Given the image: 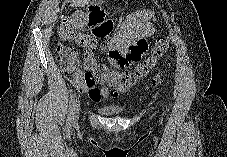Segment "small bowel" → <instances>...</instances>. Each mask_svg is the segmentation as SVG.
<instances>
[{"instance_id":"small-bowel-1","label":"small bowel","mask_w":227,"mask_h":157,"mask_svg":"<svg viewBox=\"0 0 227 157\" xmlns=\"http://www.w3.org/2000/svg\"><path fill=\"white\" fill-rule=\"evenodd\" d=\"M155 11L151 9L139 10L131 13L122 24L119 32L110 40L107 47H101V52H106L108 62L116 68H124L130 64L127 62H139L143 54H146L145 38L155 32L151 19ZM105 25H110L107 22ZM141 77H136L134 85ZM74 86L80 93L87 94L93 102H100L102 98L115 97L117 94L107 84L98 88L86 81L81 70L77 72V80Z\"/></svg>"}]
</instances>
